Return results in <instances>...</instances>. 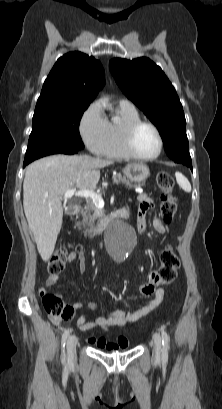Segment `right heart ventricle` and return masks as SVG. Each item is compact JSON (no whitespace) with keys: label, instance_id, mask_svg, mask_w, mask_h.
Returning a JSON list of instances; mask_svg holds the SVG:
<instances>
[{"label":"right heart ventricle","instance_id":"1","mask_svg":"<svg viewBox=\"0 0 222 409\" xmlns=\"http://www.w3.org/2000/svg\"><path fill=\"white\" fill-rule=\"evenodd\" d=\"M117 120L107 121V138L99 155L114 158H131L123 146V133L132 122L140 120L138 110L132 105L119 103L116 108Z\"/></svg>","mask_w":222,"mask_h":409}]
</instances>
